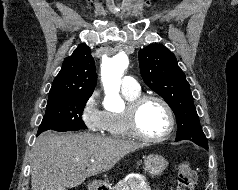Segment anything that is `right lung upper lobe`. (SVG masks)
<instances>
[{
    "instance_id": "right-lung-upper-lobe-1",
    "label": "right lung upper lobe",
    "mask_w": 238,
    "mask_h": 190,
    "mask_svg": "<svg viewBox=\"0 0 238 190\" xmlns=\"http://www.w3.org/2000/svg\"><path fill=\"white\" fill-rule=\"evenodd\" d=\"M95 62L90 48L80 44L73 54L65 58L62 68L54 79L49 99L71 95H91L96 86Z\"/></svg>"
}]
</instances>
